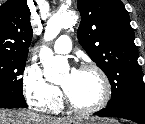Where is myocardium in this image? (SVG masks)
I'll use <instances>...</instances> for the list:
<instances>
[{"label": "myocardium", "instance_id": "1", "mask_svg": "<svg viewBox=\"0 0 145 124\" xmlns=\"http://www.w3.org/2000/svg\"><path fill=\"white\" fill-rule=\"evenodd\" d=\"M78 71H94L97 73L102 82L103 95L95 105L89 107H80L73 103L65 89L62 87L64 103L72 112L77 114H93L102 110L109 103L112 95V86L108 75L101 67L93 63L81 65Z\"/></svg>", "mask_w": 145, "mask_h": 124}]
</instances>
